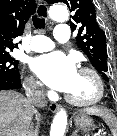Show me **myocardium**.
I'll return each instance as SVG.
<instances>
[{"instance_id": "f54148a6", "label": "myocardium", "mask_w": 117, "mask_h": 136, "mask_svg": "<svg viewBox=\"0 0 117 136\" xmlns=\"http://www.w3.org/2000/svg\"><path fill=\"white\" fill-rule=\"evenodd\" d=\"M78 72L87 73L92 76V78L94 79L96 83V88H97L96 95L93 98L88 100H77L66 93L65 94L66 101L78 107H88V106H92L99 103L103 99L105 94V85L100 74L96 70L90 67H81L78 70Z\"/></svg>"}]
</instances>
